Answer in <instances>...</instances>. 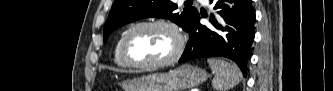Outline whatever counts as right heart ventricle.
<instances>
[{"label": "right heart ventricle", "mask_w": 333, "mask_h": 91, "mask_svg": "<svg viewBox=\"0 0 333 91\" xmlns=\"http://www.w3.org/2000/svg\"><path fill=\"white\" fill-rule=\"evenodd\" d=\"M125 32H123L119 36L118 40L116 41L115 48H114V61L119 67L130 68V66L124 61V59L121 55V42H122V38H123Z\"/></svg>", "instance_id": "1"}]
</instances>
